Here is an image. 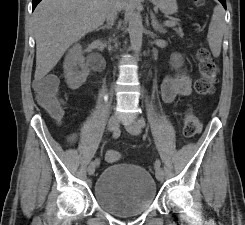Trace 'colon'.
<instances>
[{"instance_id": "obj_1", "label": "colon", "mask_w": 245, "mask_h": 225, "mask_svg": "<svg viewBox=\"0 0 245 225\" xmlns=\"http://www.w3.org/2000/svg\"><path fill=\"white\" fill-rule=\"evenodd\" d=\"M201 3V0H197ZM196 60L200 77L196 81L195 90L199 95H209L214 92L218 77V68L215 61L205 47L198 49ZM58 83L50 80L44 85H40L37 91V99L41 105L54 114H60L64 109V104L58 97ZM201 121L192 113L188 112L184 118L183 135L185 138H191L201 131Z\"/></svg>"}]
</instances>
